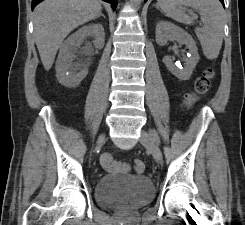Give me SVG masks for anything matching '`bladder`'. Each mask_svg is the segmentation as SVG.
<instances>
[{
	"instance_id": "obj_1",
	"label": "bladder",
	"mask_w": 245,
	"mask_h": 225,
	"mask_svg": "<svg viewBox=\"0 0 245 225\" xmlns=\"http://www.w3.org/2000/svg\"><path fill=\"white\" fill-rule=\"evenodd\" d=\"M155 187L144 174H105L95 184L94 200L106 210L135 209L153 201Z\"/></svg>"
}]
</instances>
